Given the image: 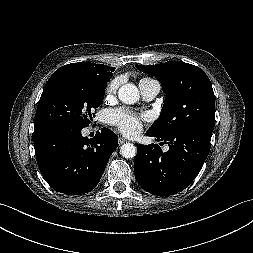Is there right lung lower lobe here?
Returning a JSON list of instances; mask_svg holds the SVG:
<instances>
[{"instance_id": "1", "label": "right lung lower lobe", "mask_w": 253, "mask_h": 253, "mask_svg": "<svg viewBox=\"0 0 253 253\" xmlns=\"http://www.w3.org/2000/svg\"><path fill=\"white\" fill-rule=\"evenodd\" d=\"M117 147L118 136L107 128L92 139L67 126L34 130L35 155L43 177L54 190L68 195L93 190Z\"/></svg>"}]
</instances>
